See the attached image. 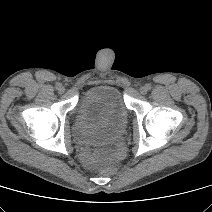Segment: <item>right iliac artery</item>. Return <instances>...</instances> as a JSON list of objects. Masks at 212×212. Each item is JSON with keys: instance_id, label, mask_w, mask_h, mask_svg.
Segmentation results:
<instances>
[{"instance_id": "82829eb1", "label": "right iliac artery", "mask_w": 212, "mask_h": 212, "mask_svg": "<svg viewBox=\"0 0 212 212\" xmlns=\"http://www.w3.org/2000/svg\"><path fill=\"white\" fill-rule=\"evenodd\" d=\"M61 86L60 83H56V89H58Z\"/></svg>"}]
</instances>
